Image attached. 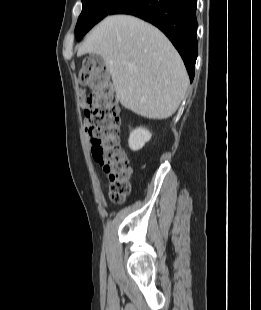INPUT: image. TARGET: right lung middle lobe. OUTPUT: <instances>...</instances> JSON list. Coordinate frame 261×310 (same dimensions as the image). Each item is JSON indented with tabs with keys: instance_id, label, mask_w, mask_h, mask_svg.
<instances>
[{
	"instance_id": "right-lung-middle-lobe-1",
	"label": "right lung middle lobe",
	"mask_w": 261,
	"mask_h": 310,
	"mask_svg": "<svg viewBox=\"0 0 261 310\" xmlns=\"http://www.w3.org/2000/svg\"><path fill=\"white\" fill-rule=\"evenodd\" d=\"M124 0H82V12L75 28L76 39L79 41L96 23Z\"/></svg>"
}]
</instances>
